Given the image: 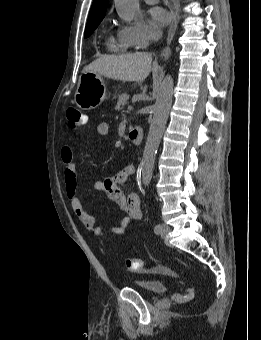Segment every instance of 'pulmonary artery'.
<instances>
[{
    "label": "pulmonary artery",
    "instance_id": "e3ab8cb5",
    "mask_svg": "<svg viewBox=\"0 0 261 340\" xmlns=\"http://www.w3.org/2000/svg\"><path fill=\"white\" fill-rule=\"evenodd\" d=\"M145 2L148 4H155L158 2V0H145Z\"/></svg>",
    "mask_w": 261,
    "mask_h": 340
}]
</instances>
